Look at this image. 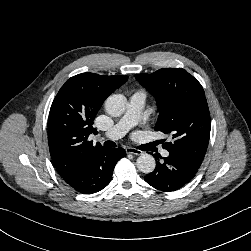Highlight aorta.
Segmentation results:
<instances>
[{
    "label": "aorta",
    "instance_id": "1",
    "mask_svg": "<svg viewBox=\"0 0 251 251\" xmlns=\"http://www.w3.org/2000/svg\"><path fill=\"white\" fill-rule=\"evenodd\" d=\"M126 98L120 94L109 96L105 101V109L112 117L121 116L126 110ZM156 167L155 159L150 154H141L137 159V168L139 171L148 174L154 171Z\"/></svg>",
    "mask_w": 251,
    "mask_h": 251
}]
</instances>
